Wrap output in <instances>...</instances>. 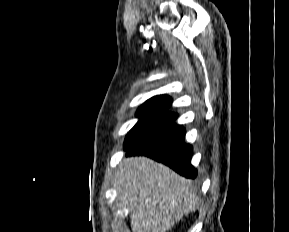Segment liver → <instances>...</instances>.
Masks as SVG:
<instances>
[{
	"mask_svg": "<svg viewBox=\"0 0 289 232\" xmlns=\"http://www.w3.org/2000/svg\"><path fill=\"white\" fill-rule=\"evenodd\" d=\"M115 185L133 232H166L199 203L190 180L145 156L124 158Z\"/></svg>",
	"mask_w": 289,
	"mask_h": 232,
	"instance_id": "liver-1",
	"label": "liver"
}]
</instances>
